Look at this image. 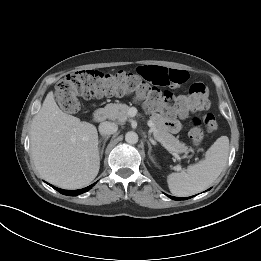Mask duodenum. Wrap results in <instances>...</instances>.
<instances>
[{
	"label": "duodenum",
	"instance_id": "1",
	"mask_svg": "<svg viewBox=\"0 0 261 261\" xmlns=\"http://www.w3.org/2000/svg\"><path fill=\"white\" fill-rule=\"evenodd\" d=\"M93 118L96 122H103L106 119V111L104 109H97L93 114Z\"/></svg>",
	"mask_w": 261,
	"mask_h": 261
}]
</instances>
